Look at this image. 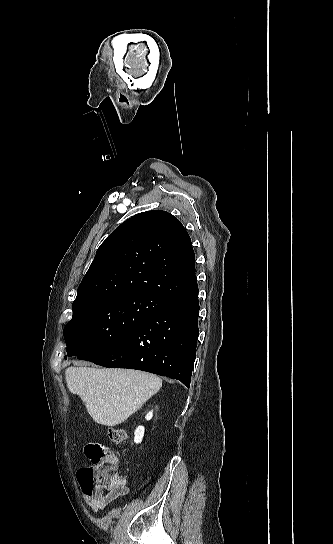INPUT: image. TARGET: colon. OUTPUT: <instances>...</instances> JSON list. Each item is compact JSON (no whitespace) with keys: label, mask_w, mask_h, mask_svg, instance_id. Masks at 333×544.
Masks as SVG:
<instances>
[{"label":"colon","mask_w":333,"mask_h":544,"mask_svg":"<svg viewBox=\"0 0 333 544\" xmlns=\"http://www.w3.org/2000/svg\"><path fill=\"white\" fill-rule=\"evenodd\" d=\"M109 440L114 444H121L126 439V432L119 427L108 429ZM85 454L92 465L78 470L77 478L83 490L93 492L97 489L108 490L117 486L121 481L118 470L117 456L98 443H89L85 447Z\"/></svg>","instance_id":"5ec220e1"}]
</instances>
